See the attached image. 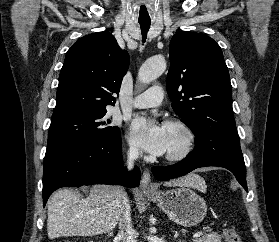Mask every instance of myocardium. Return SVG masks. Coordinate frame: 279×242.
<instances>
[{"label": "myocardium", "mask_w": 279, "mask_h": 242, "mask_svg": "<svg viewBox=\"0 0 279 242\" xmlns=\"http://www.w3.org/2000/svg\"><path fill=\"white\" fill-rule=\"evenodd\" d=\"M165 125L178 129L183 138L181 148L178 151L166 153L165 159L169 162H180L186 159L192 152L195 145V133L193 129L181 119L168 120Z\"/></svg>", "instance_id": "obj_1"}]
</instances>
